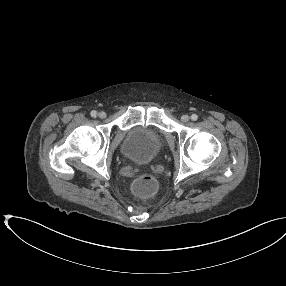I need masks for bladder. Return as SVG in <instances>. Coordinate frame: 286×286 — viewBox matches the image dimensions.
I'll return each instance as SVG.
<instances>
[{
  "label": "bladder",
  "instance_id": "1",
  "mask_svg": "<svg viewBox=\"0 0 286 286\" xmlns=\"http://www.w3.org/2000/svg\"><path fill=\"white\" fill-rule=\"evenodd\" d=\"M161 149L162 137L154 128H133L121 144L122 153L136 164L152 162Z\"/></svg>",
  "mask_w": 286,
  "mask_h": 286
}]
</instances>
